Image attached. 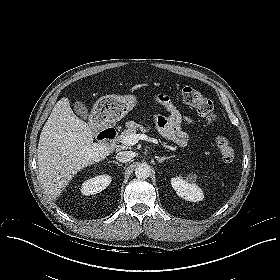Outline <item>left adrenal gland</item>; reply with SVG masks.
I'll list each match as a JSON object with an SVG mask.
<instances>
[{
  "instance_id": "left-adrenal-gland-1",
  "label": "left adrenal gland",
  "mask_w": 280,
  "mask_h": 280,
  "mask_svg": "<svg viewBox=\"0 0 280 280\" xmlns=\"http://www.w3.org/2000/svg\"><path fill=\"white\" fill-rule=\"evenodd\" d=\"M174 156H167V157H156L159 163H162L164 160L170 159Z\"/></svg>"
}]
</instances>
